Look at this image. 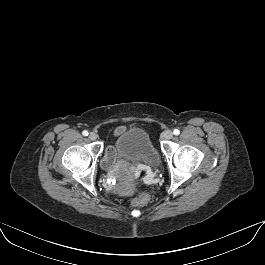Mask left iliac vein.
Segmentation results:
<instances>
[{
    "instance_id": "1",
    "label": "left iliac vein",
    "mask_w": 265,
    "mask_h": 265,
    "mask_svg": "<svg viewBox=\"0 0 265 265\" xmlns=\"http://www.w3.org/2000/svg\"><path fill=\"white\" fill-rule=\"evenodd\" d=\"M173 137V132L171 130H166L163 133V138L165 139H171Z\"/></svg>"
}]
</instances>
